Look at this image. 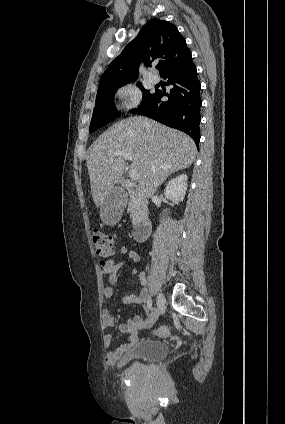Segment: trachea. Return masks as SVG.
I'll return each instance as SVG.
<instances>
[{
    "label": "trachea",
    "mask_w": 285,
    "mask_h": 424,
    "mask_svg": "<svg viewBox=\"0 0 285 424\" xmlns=\"http://www.w3.org/2000/svg\"><path fill=\"white\" fill-rule=\"evenodd\" d=\"M160 67H161V66H160V65H158V66H157V69H159Z\"/></svg>",
    "instance_id": "3493384b"
}]
</instances>
